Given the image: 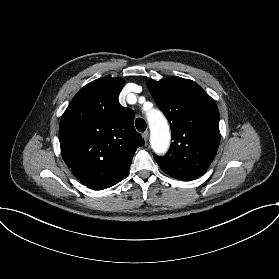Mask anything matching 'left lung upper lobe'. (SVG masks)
<instances>
[{
    "label": "left lung upper lobe",
    "mask_w": 279,
    "mask_h": 279,
    "mask_svg": "<svg viewBox=\"0 0 279 279\" xmlns=\"http://www.w3.org/2000/svg\"><path fill=\"white\" fill-rule=\"evenodd\" d=\"M148 89L169 120L174 140L164 157L154 155L159 167L184 181L204 174L220 142L215 101L194 81L177 76L149 80Z\"/></svg>",
    "instance_id": "left-lung-upper-lobe-1"
}]
</instances>
